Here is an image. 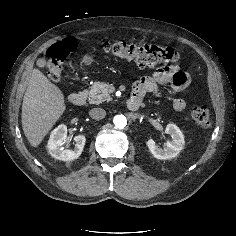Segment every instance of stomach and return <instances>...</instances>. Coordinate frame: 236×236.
Here are the masks:
<instances>
[{
  "label": "stomach",
  "mask_w": 236,
  "mask_h": 236,
  "mask_svg": "<svg viewBox=\"0 0 236 236\" xmlns=\"http://www.w3.org/2000/svg\"><path fill=\"white\" fill-rule=\"evenodd\" d=\"M94 61V56H91V55H85L83 58H82V64L88 66V65H91Z\"/></svg>",
  "instance_id": "0dacf381"
}]
</instances>
